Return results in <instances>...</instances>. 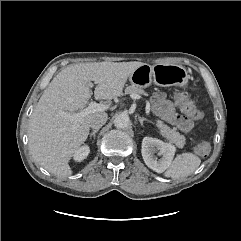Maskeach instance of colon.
Listing matches in <instances>:
<instances>
[{"instance_id":"colon-1","label":"colon","mask_w":241,"mask_h":241,"mask_svg":"<svg viewBox=\"0 0 241 241\" xmlns=\"http://www.w3.org/2000/svg\"><path fill=\"white\" fill-rule=\"evenodd\" d=\"M175 101L177 105L181 108L188 117L198 120L203 118L204 111L197 108L196 105L188 98V96L183 92L175 93ZM196 152L200 156H207L210 152V145L208 142H200L196 146Z\"/></svg>"}]
</instances>
